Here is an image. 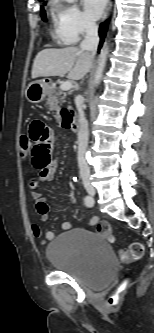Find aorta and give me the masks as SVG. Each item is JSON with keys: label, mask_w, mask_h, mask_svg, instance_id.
<instances>
[{"label": "aorta", "mask_w": 154, "mask_h": 333, "mask_svg": "<svg viewBox=\"0 0 154 333\" xmlns=\"http://www.w3.org/2000/svg\"><path fill=\"white\" fill-rule=\"evenodd\" d=\"M68 3H73L76 0H65ZM108 50L109 47L108 45H104L103 48L101 49L100 55H99V59H98V65H97V69H96V73H95V77H94V83L95 85H99L105 66H106V61H107V55H108Z\"/></svg>", "instance_id": "1"}]
</instances>
